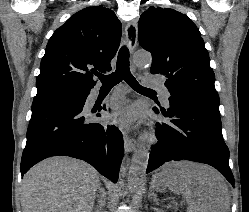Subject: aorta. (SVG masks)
I'll list each match as a JSON object with an SVG mask.
<instances>
[{
  "mask_svg": "<svg viewBox=\"0 0 249 212\" xmlns=\"http://www.w3.org/2000/svg\"><path fill=\"white\" fill-rule=\"evenodd\" d=\"M133 62L138 68H145L151 65L152 56L148 52L137 51L133 56ZM148 157V152L143 148L137 149L132 156L129 168L128 185L135 197H138L140 187L144 181L148 165Z\"/></svg>",
  "mask_w": 249,
  "mask_h": 212,
  "instance_id": "aorta-1",
  "label": "aorta"
}]
</instances>
